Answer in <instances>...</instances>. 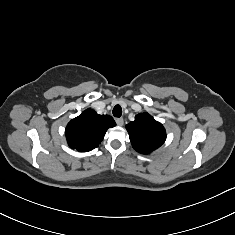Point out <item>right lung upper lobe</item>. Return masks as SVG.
Segmentation results:
<instances>
[{
    "label": "right lung upper lobe",
    "mask_w": 235,
    "mask_h": 235,
    "mask_svg": "<svg viewBox=\"0 0 235 235\" xmlns=\"http://www.w3.org/2000/svg\"><path fill=\"white\" fill-rule=\"evenodd\" d=\"M115 125L111 116L99 115L92 109H86L68 123L65 130L67 142L77 151H91L103 140L108 128Z\"/></svg>",
    "instance_id": "1"
}]
</instances>
